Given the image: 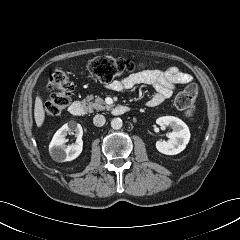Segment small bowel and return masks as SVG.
Wrapping results in <instances>:
<instances>
[{
	"mask_svg": "<svg viewBox=\"0 0 240 240\" xmlns=\"http://www.w3.org/2000/svg\"><path fill=\"white\" fill-rule=\"evenodd\" d=\"M193 80L189 73L177 67H170L165 71L145 70L129 75L121 80L108 84L107 88L112 91H125L139 85H149L154 90V95L147 101L148 107H156L169 99L176 85L189 84Z\"/></svg>",
	"mask_w": 240,
	"mask_h": 240,
	"instance_id": "c3829d8e",
	"label": "small bowel"
}]
</instances>
